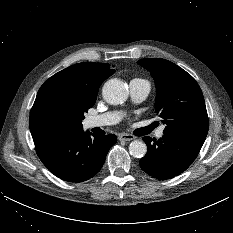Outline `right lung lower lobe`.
Returning a JSON list of instances; mask_svg holds the SVG:
<instances>
[{
    "mask_svg": "<svg viewBox=\"0 0 233 233\" xmlns=\"http://www.w3.org/2000/svg\"><path fill=\"white\" fill-rule=\"evenodd\" d=\"M91 135L83 129L61 131L34 139V144L38 157L54 175L83 182L99 172L117 141L114 134Z\"/></svg>",
    "mask_w": 233,
    "mask_h": 233,
    "instance_id": "98d812e1",
    "label": "right lung lower lobe"
}]
</instances>
